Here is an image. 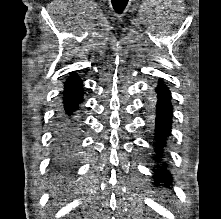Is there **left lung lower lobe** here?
<instances>
[{
	"label": "left lung lower lobe",
	"mask_w": 221,
	"mask_h": 219,
	"mask_svg": "<svg viewBox=\"0 0 221 219\" xmlns=\"http://www.w3.org/2000/svg\"><path fill=\"white\" fill-rule=\"evenodd\" d=\"M158 101L156 104V152L160 155V150L164 147L166 143V138L170 134L171 121H172V106H171V93L167 86L160 82L156 88ZM155 185L164 183L166 186L172 182L171 174L165 169V167H160L155 171L154 177Z\"/></svg>",
	"instance_id": "obj_1"
}]
</instances>
